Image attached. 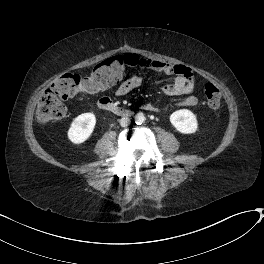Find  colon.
<instances>
[{"label": "colon", "mask_w": 264, "mask_h": 264, "mask_svg": "<svg viewBox=\"0 0 264 264\" xmlns=\"http://www.w3.org/2000/svg\"><path fill=\"white\" fill-rule=\"evenodd\" d=\"M130 67H135V59L132 55L126 54L102 61L87 78L74 72L62 75L40 97L35 111L36 120L47 124L64 117L66 108L62 99L92 94L121 83ZM204 93L209 107H220L222 97L217 87L207 83L204 86Z\"/></svg>", "instance_id": "obj_1"}]
</instances>
